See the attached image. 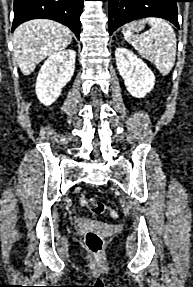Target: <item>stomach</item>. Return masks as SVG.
I'll return each mask as SVG.
<instances>
[{
	"label": "stomach",
	"instance_id": "obj_1",
	"mask_svg": "<svg viewBox=\"0 0 193 287\" xmlns=\"http://www.w3.org/2000/svg\"><path fill=\"white\" fill-rule=\"evenodd\" d=\"M144 27H145L144 24H137L133 27L132 31L139 32V31H142Z\"/></svg>",
	"mask_w": 193,
	"mask_h": 287
}]
</instances>
